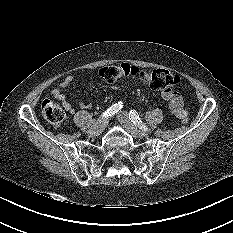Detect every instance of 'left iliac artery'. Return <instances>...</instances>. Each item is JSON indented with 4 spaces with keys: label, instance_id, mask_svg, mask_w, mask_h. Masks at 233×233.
Wrapping results in <instances>:
<instances>
[{
    "label": "left iliac artery",
    "instance_id": "44dca946",
    "mask_svg": "<svg viewBox=\"0 0 233 233\" xmlns=\"http://www.w3.org/2000/svg\"><path fill=\"white\" fill-rule=\"evenodd\" d=\"M129 119L135 124L137 125L140 129L147 131L148 127L143 124L142 120L140 119L138 112L136 110H131L129 112Z\"/></svg>",
    "mask_w": 233,
    "mask_h": 233
}]
</instances>
